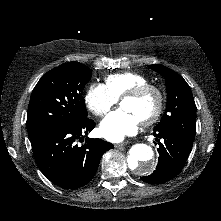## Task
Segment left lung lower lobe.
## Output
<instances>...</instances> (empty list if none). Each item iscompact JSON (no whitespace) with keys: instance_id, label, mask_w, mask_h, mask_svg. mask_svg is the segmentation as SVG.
Segmentation results:
<instances>
[{"instance_id":"obj_1","label":"left lung lower lobe","mask_w":221,"mask_h":221,"mask_svg":"<svg viewBox=\"0 0 221 221\" xmlns=\"http://www.w3.org/2000/svg\"><path fill=\"white\" fill-rule=\"evenodd\" d=\"M156 138L163 139L159 144V159L156 170L149 176L141 177V180L150 184H161L177 176L184 167L189 156L192 143L171 130H154Z\"/></svg>"}]
</instances>
